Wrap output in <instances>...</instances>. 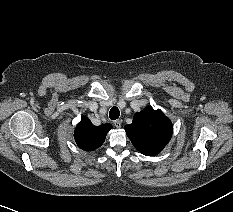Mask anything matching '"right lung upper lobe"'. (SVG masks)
<instances>
[{
  "label": "right lung upper lobe",
  "instance_id": "1",
  "mask_svg": "<svg viewBox=\"0 0 233 212\" xmlns=\"http://www.w3.org/2000/svg\"><path fill=\"white\" fill-rule=\"evenodd\" d=\"M111 128V124L94 126L88 118L84 117L76 126L74 138L81 149L93 151L103 144L107 132Z\"/></svg>",
  "mask_w": 233,
  "mask_h": 212
}]
</instances>
